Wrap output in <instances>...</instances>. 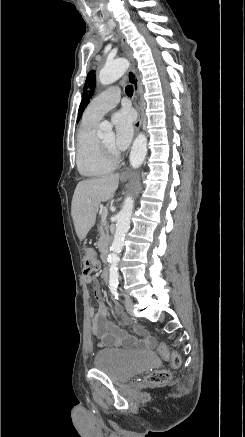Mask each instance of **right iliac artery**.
I'll return each instance as SVG.
<instances>
[{
	"mask_svg": "<svg viewBox=\"0 0 245 437\" xmlns=\"http://www.w3.org/2000/svg\"><path fill=\"white\" fill-rule=\"evenodd\" d=\"M117 287H118L117 283H111L109 285L110 291L113 294V296L115 297V299H118V296H119L118 291H117Z\"/></svg>",
	"mask_w": 245,
	"mask_h": 437,
	"instance_id": "82829eb1",
	"label": "right iliac artery"
}]
</instances>
